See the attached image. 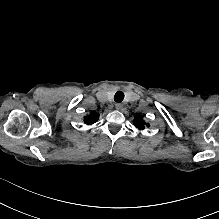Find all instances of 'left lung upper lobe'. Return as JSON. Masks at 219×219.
I'll use <instances>...</instances> for the list:
<instances>
[{
    "instance_id": "1",
    "label": "left lung upper lobe",
    "mask_w": 219,
    "mask_h": 219,
    "mask_svg": "<svg viewBox=\"0 0 219 219\" xmlns=\"http://www.w3.org/2000/svg\"><path fill=\"white\" fill-rule=\"evenodd\" d=\"M134 124L138 129H144L145 125L148 127L149 124L143 121V117L141 115H136L134 118Z\"/></svg>"
}]
</instances>
